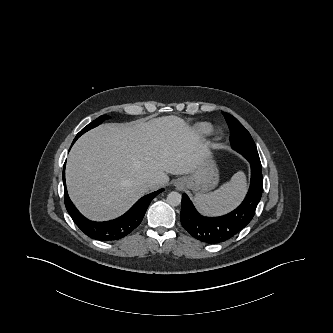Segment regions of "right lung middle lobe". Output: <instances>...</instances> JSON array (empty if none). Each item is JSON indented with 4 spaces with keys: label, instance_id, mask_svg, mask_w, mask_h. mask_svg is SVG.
<instances>
[{
    "label": "right lung middle lobe",
    "instance_id": "right-lung-middle-lobe-1",
    "mask_svg": "<svg viewBox=\"0 0 333 333\" xmlns=\"http://www.w3.org/2000/svg\"><path fill=\"white\" fill-rule=\"evenodd\" d=\"M109 117L107 115H101L96 120L88 124L86 127H84L76 136V138L80 137L83 133L87 132L88 130L98 126L101 124L104 120L108 119Z\"/></svg>",
    "mask_w": 333,
    "mask_h": 333
}]
</instances>
